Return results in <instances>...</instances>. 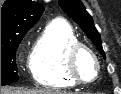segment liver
I'll return each instance as SVG.
<instances>
[{
  "label": "liver",
  "mask_w": 121,
  "mask_h": 94,
  "mask_svg": "<svg viewBox=\"0 0 121 94\" xmlns=\"http://www.w3.org/2000/svg\"><path fill=\"white\" fill-rule=\"evenodd\" d=\"M1 94H68L60 91H53L48 89L43 90H23L11 87H1Z\"/></svg>",
  "instance_id": "liver-1"
}]
</instances>
